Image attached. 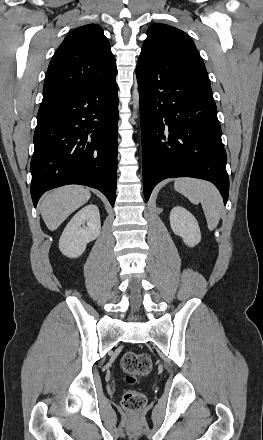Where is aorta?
<instances>
[{
  "mask_svg": "<svg viewBox=\"0 0 263 440\" xmlns=\"http://www.w3.org/2000/svg\"><path fill=\"white\" fill-rule=\"evenodd\" d=\"M132 95H133V102H132L133 103V107H134L135 110H137L139 108V98H140V93H139V90H138V84L137 83H135V85H134Z\"/></svg>",
  "mask_w": 263,
  "mask_h": 440,
  "instance_id": "obj_1",
  "label": "aorta"
}]
</instances>
